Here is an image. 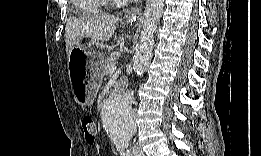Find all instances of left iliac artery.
Wrapping results in <instances>:
<instances>
[{
  "label": "left iliac artery",
  "instance_id": "1",
  "mask_svg": "<svg viewBox=\"0 0 261 156\" xmlns=\"http://www.w3.org/2000/svg\"><path fill=\"white\" fill-rule=\"evenodd\" d=\"M129 141H130L129 137L115 140L116 147L120 151L122 156H131L132 155V153L128 149Z\"/></svg>",
  "mask_w": 261,
  "mask_h": 156
}]
</instances>
